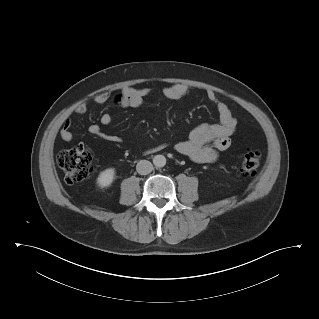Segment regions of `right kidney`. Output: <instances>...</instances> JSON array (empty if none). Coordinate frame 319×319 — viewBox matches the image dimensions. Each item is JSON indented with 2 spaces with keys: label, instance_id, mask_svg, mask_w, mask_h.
<instances>
[{
  "label": "right kidney",
  "instance_id": "obj_1",
  "mask_svg": "<svg viewBox=\"0 0 319 319\" xmlns=\"http://www.w3.org/2000/svg\"><path fill=\"white\" fill-rule=\"evenodd\" d=\"M114 175H115L114 168H108L102 171L97 178L98 186L102 188L110 186L114 180Z\"/></svg>",
  "mask_w": 319,
  "mask_h": 319
}]
</instances>
